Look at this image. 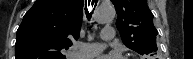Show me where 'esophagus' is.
Wrapping results in <instances>:
<instances>
[{
    "label": "esophagus",
    "instance_id": "obj_1",
    "mask_svg": "<svg viewBox=\"0 0 193 59\" xmlns=\"http://www.w3.org/2000/svg\"><path fill=\"white\" fill-rule=\"evenodd\" d=\"M87 4H88V1H87ZM98 4H99V0H90V6H89L90 10L93 9L95 5L98 6Z\"/></svg>",
    "mask_w": 193,
    "mask_h": 59
}]
</instances>
